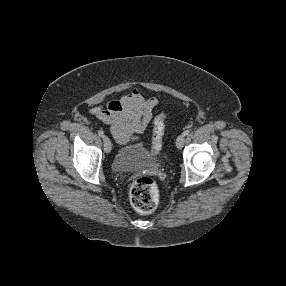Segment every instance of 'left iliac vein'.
I'll return each mask as SVG.
<instances>
[{
    "label": "left iliac vein",
    "instance_id": "left-iliac-vein-1",
    "mask_svg": "<svg viewBox=\"0 0 286 286\" xmlns=\"http://www.w3.org/2000/svg\"><path fill=\"white\" fill-rule=\"evenodd\" d=\"M185 143V136L183 134L179 135L176 139V146L178 149H182Z\"/></svg>",
    "mask_w": 286,
    "mask_h": 286
}]
</instances>
